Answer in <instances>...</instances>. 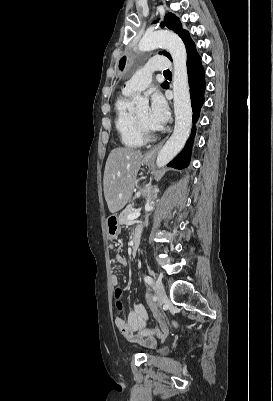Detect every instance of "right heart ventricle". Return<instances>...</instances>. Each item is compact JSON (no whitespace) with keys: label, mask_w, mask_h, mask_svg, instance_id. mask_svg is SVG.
Returning <instances> with one entry per match:
<instances>
[{"label":"right heart ventricle","mask_w":273,"mask_h":401,"mask_svg":"<svg viewBox=\"0 0 273 401\" xmlns=\"http://www.w3.org/2000/svg\"><path fill=\"white\" fill-rule=\"evenodd\" d=\"M130 100L131 95L128 93H123L116 98L114 102L115 127L122 143L126 147L136 148L143 145L144 138L136 126L134 113L128 108Z\"/></svg>","instance_id":"right-heart-ventricle-1"}]
</instances>
